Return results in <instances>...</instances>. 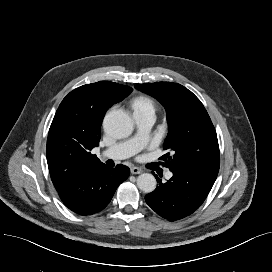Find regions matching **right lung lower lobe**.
Returning a JSON list of instances; mask_svg holds the SVG:
<instances>
[{
  "label": "right lung lower lobe",
  "instance_id": "1",
  "mask_svg": "<svg viewBox=\"0 0 272 272\" xmlns=\"http://www.w3.org/2000/svg\"><path fill=\"white\" fill-rule=\"evenodd\" d=\"M124 165H106L86 173L79 183L59 192L66 207L80 215H92L103 210L111 201L117 187L129 176Z\"/></svg>",
  "mask_w": 272,
  "mask_h": 272
}]
</instances>
